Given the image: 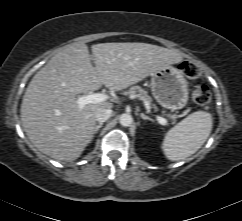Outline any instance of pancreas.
<instances>
[{"label":"pancreas","instance_id":"cf45deb5","mask_svg":"<svg viewBox=\"0 0 242 221\" xmlns=\"http://www.w3.org/2000/svg\"><path fill=\"white\" fill-rule=\"evenodd\" d=\"M125 94L130 96H137L147 105L152 104L151 97L148 95L147 91L142 89L140 86H132L127 92H125ZM152 106L155 107V105Z\"/></svg>","mask_w":242,"mask_h":221}]
</instances>
